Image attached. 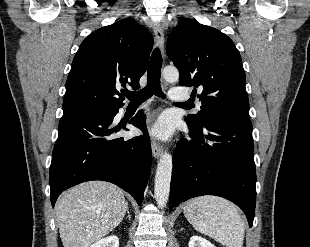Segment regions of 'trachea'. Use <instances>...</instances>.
<instances>
[{
  "instance_id": "3493384b",
  "label": "trachea",
  "mask_w": 310,
  "mask_h": 247,
  "mask_svg": "<svg viewBox=\"0 0 310 247\" xmlns=\"http://www.w3.org/2000/svg\"><path fill=\"white\" fill-rule=\"evenodd\" d=\"M162 67V56L160 50L156 48L152 55L150 64L147 71V85L142 90L136 92H125L124 95L129 99L132 104H141L149 99L151 96L156 95L158 97L165 98L161 90L160 74ZM180 105H187V103H179Z\"/></svg>"
}]
</instances>
